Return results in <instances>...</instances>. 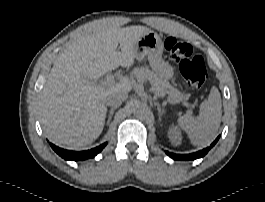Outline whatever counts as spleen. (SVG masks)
Wrapping results in <instances>:
<instances>
[{"label": "spleen", "mask_w": 265, "mask_h": 202, "mask_svg": "<svg viewBox=\"0 0 265 202\" xmlns=\"http://www.w3.org/2000/svg\"><path fill=\"white\" fill-rule=\"evenodd\" d=\"M222 116L221 97L217 88L211 89L208 100L200 105L197 117L190 113L178 118V125L186 132L191 143L205 146L214 138L220 126Z\"/></svg>", "instance_id": "spleen-1"}]
</instances>
